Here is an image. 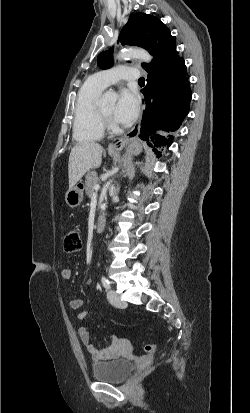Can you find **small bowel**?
Returning <instances> with one entry per match:
<instances>
[{"mask_svg": "<svg viewBox=\"0 0 250 413\" xmlns=\"http://www.w3.org/2000/svg\"><path fill=\"white\" fill-rule=\"evenodd\" d=\"M62 277L66 280H69L73 277V270L71 268H65L62 270L61 273ZM70 307L74 310H79L84 305V300L81 298L72 299L69 303ZM88 313L86 311H80L77 314L78 320H84L87 317ZM78 336L82 342V344L86 347L89 354L92 358L96 361H103V360H112L119 356L121 348H122V341L115 335L110 336V344L108 347L104 349H99L96 347L92 341L90 332L86 327H79L77 330Z\"/></svg>", "mask_w": 250, "mask_h": 413, "instance_id": "c3829d8e", "label": "small bowel"}]
</instances>
